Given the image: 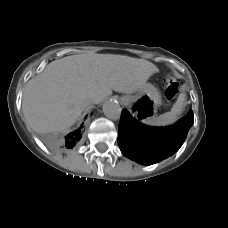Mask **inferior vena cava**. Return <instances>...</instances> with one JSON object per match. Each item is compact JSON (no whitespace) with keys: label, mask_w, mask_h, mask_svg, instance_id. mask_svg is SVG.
<instances>
[{"label":"inferior vena cava","mask_w":228,"mask_h":228,"mask_svg":"<svg viewBox=\"0 0 228 228\" xmlns=\"http://www.w3.org/2000/svg\"><path fill=\"white\" fill-rule=\"evenodd\" d=\"M91 104H93V102H92L91 99H85V100H83V102H82V108L85 109V108H87L88 106H90Z\"/></svg>","instance_id":"1"}]
</instances>
